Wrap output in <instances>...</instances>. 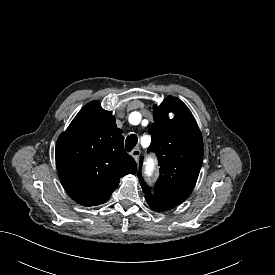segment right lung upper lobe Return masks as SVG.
Returning a JSON list of instances; mask_svg holds the SVG:
<instances>
[{"label": "right lung upper lobe", "instance_id": "right-lung-upper-lobe-1", "mask_svg": "<svg viewBox=\"0 0 275 275\" xmlns=\"http://www.w3.org/2000/svg\"><path fill=\"white\" fill-rule=\"evenodd\" d=\"M56 166L68 195L83 206L109 199L119 179L136 172L112 112L97 101L85 105L57 141Z\"/></svg>", "mask_w": 275, "mask_h": 275}]
</instances>
